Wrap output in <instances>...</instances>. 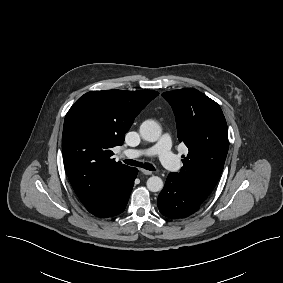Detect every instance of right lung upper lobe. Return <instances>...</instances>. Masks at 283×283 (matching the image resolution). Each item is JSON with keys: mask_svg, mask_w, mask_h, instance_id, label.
I'll return each instance as SVG.
<instances>
[{"mask_svg": "<svg viewBox=\"0 0 283 283\" xmlns=\"http://www.w3.org/2000/svg\"><path fill=\"white\" fill-rule=\"evenodd\" d=\"M158 94L152 90L90 91L66 114L62 135L64 166L89 212L102 204L110 184L131 168L115 162L112 148L123 144L135 117Z\"/></svg>", "mask_w": 283, "mask_h": 283, "instance_id": "1", "label": "right lung upper lobe"}]
</instances>
